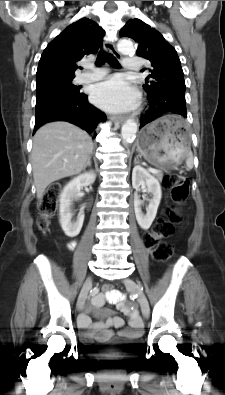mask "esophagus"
<instances>
[{
    "instance_id": "34e87169",
    "label": "esophagus",
    "mask_w": 225,
    "mask_h": 395,
    "mask_svg": "<svg viewBox=\"0 0 225 395\" xmlns=\"http://www.w3.org/2000/svg\"><path fill=\"white\" fill-rule=\"evenodd\" d=\"M105 48L109 50V52L117 58L121 57V54L117 51L113 42H107L105 44ZM112 121L124 122L126 117L124 116H113Z\"/></svg>"
}]
</instances>
